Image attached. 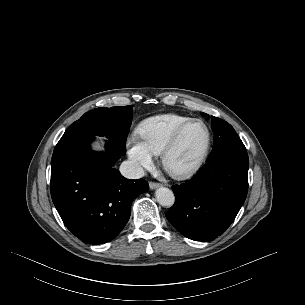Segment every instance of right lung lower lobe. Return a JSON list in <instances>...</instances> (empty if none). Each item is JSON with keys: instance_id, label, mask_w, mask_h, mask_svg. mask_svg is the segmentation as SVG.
Listing matches in <instances>:
<instances>
[{"instance_id": "right-lung-lower-lobe-1", "label": "right lung lower lobe", "mask_w": 305, "mask_h": 305, "mask_svg": "<svg viewBox=\"0 0 305 305\" xmlns=\"http://www.w3.org/2000/svg\"><path fill=\"white\" fill-rule=\"evenodd\" d=\"M92 138L56 146L51 160L50 189L65 226L87 244H102L116 237L128 222L131 203L149 185L129 180L113 168L123 155L111 140L105 152L90 148Z\"/></svg>"}]
</instances>
